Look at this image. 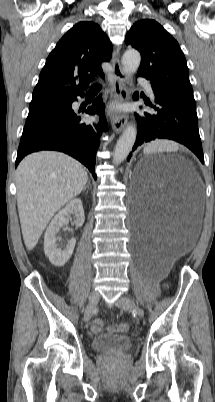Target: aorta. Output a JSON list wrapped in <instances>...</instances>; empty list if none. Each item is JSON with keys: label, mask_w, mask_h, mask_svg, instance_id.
<instances>
[{"label": "aorta", "mask_w": 215, "mask_h": 402, "mask_svg": "<svg viewBox=\"0 0 215 402\" xmlns=\"http://www.w3.org/2000/svg\"><path fill=\"white\" fill-rule=\"evenodd\" d=\"M140 62L141 56L137 50H127L122 57V67L125 75L131 76L135 74L139 68ZM136 136V127L133 124H129L116 143L113 154L114 164L118 165L126 159L128 154L132 150V147L136 140Z\"/></svg>", "instance_id": "762f6f07"}]
</instances>
